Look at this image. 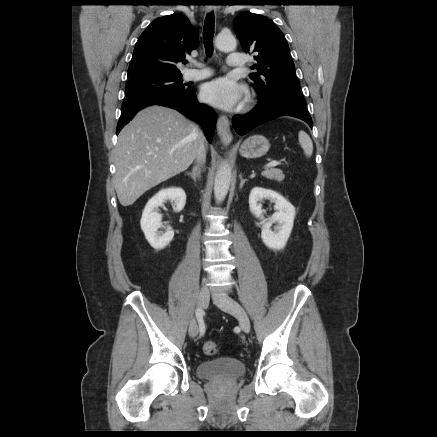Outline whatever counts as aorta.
<instances>
[{
	"label": "aorta",
	"mask_w": 437,
	"mask_h": 437,
	"mask_svg": "<svg viewBox=\"0 0 437 437\" xmlns=\"http://www.w3.org/2000/svg\"><path fill=\"white\" fill-rule=\"evenodd\" d=\"M215 45L220 51H231L236 47V39L231 33H219L215 39ZM231 167L223 163L217 170L214 180V196L217 203H221L229 190L231 182Z\"/></svg>",
	"instance_id": "obj_1"
}]
</instances>
